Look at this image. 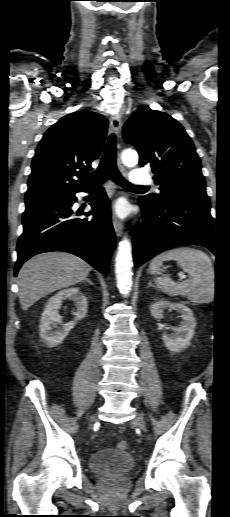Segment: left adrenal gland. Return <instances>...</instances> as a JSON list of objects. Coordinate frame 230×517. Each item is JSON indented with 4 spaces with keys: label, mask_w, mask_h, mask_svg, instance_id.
Returning a JSON list of instances; mask_svg holds the SVG:
<instances>
[{
    "label": "left adrenal gland",
    "mask_w": 230,
    "mask_h": 517,
    "mask_svg": "<svg viewBox=\"0 0 230 517\" xmlns=\"http://www.w3.org/2000/svg\"><path fill=\"white\" fill-rule=\"evenodd\" d=\"M154 287L151 282L148 283L147 288Z\"/></svg>",
    "instance_id": "obj_1"
}]
</instances>
